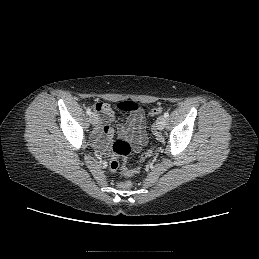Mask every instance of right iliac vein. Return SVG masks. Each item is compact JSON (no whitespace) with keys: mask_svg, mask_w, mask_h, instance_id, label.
<instances>
[{"mask_svg":"<svg viewBox=\"0 0 259 259\" xmlns=\"http://www.w3.org/2000/svg\"><path fill=\"white\" fill-rule=\"evenodd\" d=\"M89 119H90L91 124H93V125L97 124V122H98V118L95 113H91Z\"/></svg>","mask_w":259,"mask_h":259,"instance_id":"right-iliac-vein-1","label":"right iliac vein"}]
</instances>
